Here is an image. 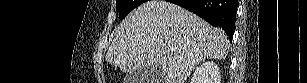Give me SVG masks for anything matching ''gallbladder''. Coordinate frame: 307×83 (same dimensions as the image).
I'll return each instance as SVG.
<instances>
[{
	"label": "gallbladder",
	"instance_id": "bac80fb5",
	"mask_svg": "<svg viewBox=\"0 0 307 83\" xmlns=\"http://www.w3.org/2000/svg\"><path fill=\"white\" fill-rule=\"evenodd\" d=\"M163 77L159 68L148 66L128 73L125 79L127 83H162Z\"/></svg>",
	"mask_w": 307,
	"mask_h": 83
}]
</instances>
